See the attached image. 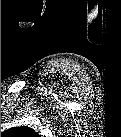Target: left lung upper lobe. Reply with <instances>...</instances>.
Masks as SVG:
<instances>
[{
	"mask_svg": "<svg viewBox=\"0 0 121 137\" xmlns=\"http://www.w3.org/2000/svg\"><path fill=\"white\" fill-rule=\"evenodd\" d=\"M7 135H11V136H37V132H35L32 128H28L25 126L22 127H15L12 129H9L7 131L4 132Z\"/></svg>",
	"mask_w": 121,
	"mask_h": 137,
	"instance_id": "left-lung-upper-lobe-1",
	"label": "left lung upper lobe"
}]
</instances>
